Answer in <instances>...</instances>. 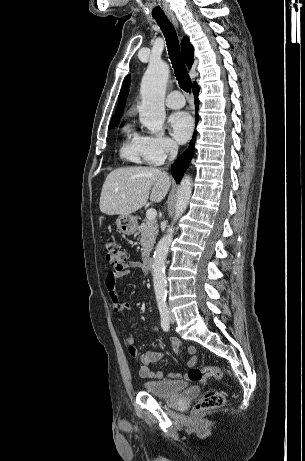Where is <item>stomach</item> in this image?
Wrapping results in <instances>:
<instances>
[{
  "label": "stomach",
  "mask_w": 305,
  "mask_h": 461,
  "mask_svg": "<svg viewBox=\"0 0 305 461\" xmlns=\"http://www.w3.org/2000/svg\"><path fill=\"white\" fill-rule=\"evenodd\" d=\"M119 232L132 235L137 230V219L132 215H120L116 220Z\"/></svg>",
  "instance_id": "1"
}]
</instances>
